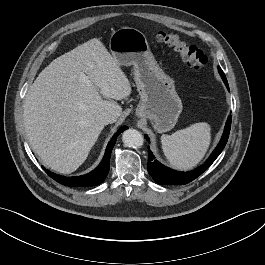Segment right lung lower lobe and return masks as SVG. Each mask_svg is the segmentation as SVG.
<instances>
[{
  "label": "right lung lower lobe",
  "mask_w": 265,
  "mask_h": 265,
  "mask_svg": "<svg viewBox=\"0 0 265 265\" xmlns=\"http://www.w3.org/2000/svg\"><path fill=\"white\" fill-rule=\"evenodd\" d=\"M127 128L128 127L123 126L117 131V133L112 137V139L107 145L102 162L99 164V166L95 170H93L92 172L88 174H85L82 176H76V177H65V176L52 173L51 171L45 169L43 166L42 168L52 179H54L55 181L65 186H71V187L96 186L105 180L109 172L111 151L115 145L118 135L124 130H126Z\"/></svg>",
  "instance_id": "98d812e1"
}]
</instances>
